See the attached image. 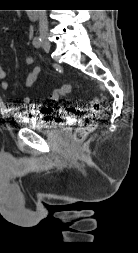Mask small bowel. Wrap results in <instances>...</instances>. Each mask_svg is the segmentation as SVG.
<instances>
[{
	"label": "small bowel",
	"instance_id": "obj_1",
	"mask_svg": "<svg viewBox=\"0 0 138 253\" xmlns=\"http://www.w3.org/2000/svg\"><path fill=\"white\" fill-rule=\"evenodd\" d=\"M34 62L33 58L28 56L25 58V63L27 65H32ZM41 68L39 66H36L33 68L27 75L26 81H25V88H31L36 83L38 76L40 74ZM0 85L3 90L9 89V84L6 79V73L3 70V68L0 65ZM20 104L22 105H28L30 104V98L29 97H23Z\"/></svg>",
	"mask_w": 138,
	"mask_h": 253
}]
</instances>
